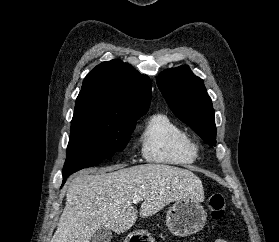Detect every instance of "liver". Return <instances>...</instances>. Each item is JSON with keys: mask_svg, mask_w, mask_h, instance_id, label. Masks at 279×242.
Returning <instances> with one entry per match:
<instances>
[{"mask_svg": "<svg viewBox=\"0 0 279 242\" xmlns=\"http://www.w3.org/2000/svg\"><path fill=\"white\" fill-rule=\"evenodd\" d=\"M135 195L143 200L142 218L178 199L204 200L201 180L187 169L144 164L82 171L67 183L66 206L51 242H89L101 227L124 233L138 217Z\"/></svg>", "mask_w": 279, "mask_h": 242, "instance_id": "liver-1", "label": "liver"}]
</instances>
